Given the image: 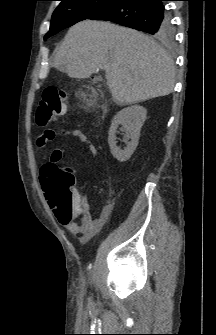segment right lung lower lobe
<instances>
[{"instance_id":"1","label":"right lung lower lobe","mask_w":216,"mask_h":335,"mask_svg":"<svg viewBox=\"0 0 216 335\" xmlns=\"http://www.w3.org/2000/svg\"><path fill=\"white\" fill-rule=\"evenodd\" d=\"M164 0H116L92 20L111 21L154 36L170 26Z\"/></svg>"}]
</instances>
